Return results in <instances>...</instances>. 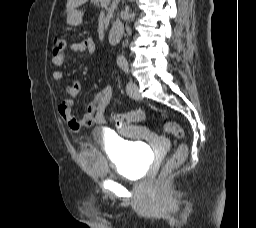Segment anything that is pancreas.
I'll use <instances>...</instances> for the list:
<instances>
[{
    "label": "pancreas",
    "mask_w": 256,
    "mask_h": 228,
    "mask_svg": "<svg viewBox=\"0 0 256 228\" xmlns=\"http://www.w3.org/2000/svg\"><path fill=\"white\" fill-rule=\"evenodd\" d=\"M91 2H92L94 5H97V6H99V4L102 5V0H91Z\"/></svg>",
    "instance_id": "cf45deb5"
}]
</instances>
